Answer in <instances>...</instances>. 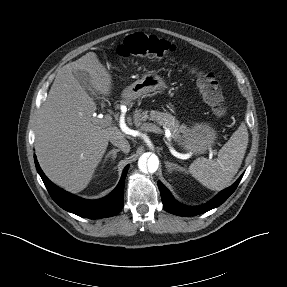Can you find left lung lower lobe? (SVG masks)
Wrapping results in <instances>:
<instances>
[{
	"label": "left lung lower lobe",
	"instance_id": "1",
	"mask_svg": "<svg viewBox=\"0 0 287 287\" xmlns=\"http://www.w3.org/2000/svg\"><path fill=\"white\" fill-rule=\"evenodd\" d=\"M242 176L243 174L239 177V179L232 186L221 191L212 200L200 206H186V205L178 203L172 197L169 190L160 181H158V186H159L160 193H161L163 207L167 212L178 215V216H194V215L205 213L213 208L218 207L222 203H224L226 199L235 191Z\"/></svg>",
	"mask_w": 287,
	"mask_h": 287
}]
</instances>
